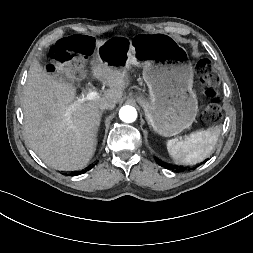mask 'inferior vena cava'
<instances>
[{
  "label": "inferior vena cava",
  "instance_id": "obj_1",
  "mask_svg": "<svg viewBox=\"0 0 253 253\" xmlns=\"http://www.w3.org/2000/svg\"><path fill=\"white\" fill-rule=\"evenodd\" d=\"M114 107H115V104L113 103V102H111V101H102V102H100V104H99V109H101V110H112V109H114Z\"/></svg>",
  "mask_w": 253,
  "mask_h": 253
}]
</instances>
